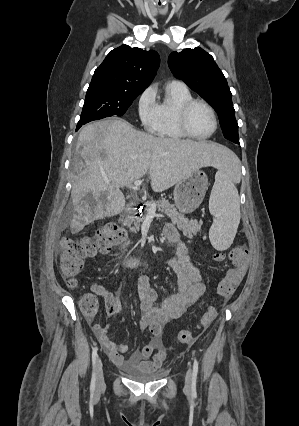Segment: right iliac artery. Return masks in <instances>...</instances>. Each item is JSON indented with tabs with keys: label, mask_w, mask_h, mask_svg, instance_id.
<instances>
[{
	"label": "right iliac artery",
	"mask_w": 299,
	"mask_h": 426,
	"mask_svg": "<svg viewBox=\"0 0 299 426\" xmlns=\"http://www.w3.org/2000/svg\"><path fill=\"white\" fill-rule=\"evenodd\" d=\"M97 351H98L97 347L93 348V352H92L93 373H92L91 386H90L91 390H94L96 386L95 364L97 359Z\"/></svg>",
	"instance_id": "obj_1"
}]
</instances>
